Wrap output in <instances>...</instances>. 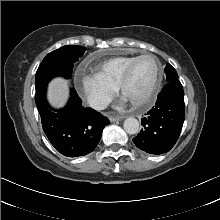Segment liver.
<instances>
[{"label":"liver","mask_w":220,"mask_h":220,"mask_svg":"<svg viewBox=\"0 0 220 220\" xmlns=\"http://www.w3.org/2000/svg\"><path fill=\"white\" fill-rule=\"evenodd\" d=\"M68 81L58 77L48 85V99L55 107H62L68 98Z\"/></svg>","instance_id":"6515ba94"}]
</instances>
